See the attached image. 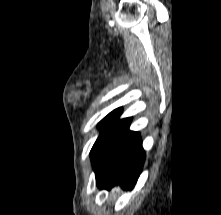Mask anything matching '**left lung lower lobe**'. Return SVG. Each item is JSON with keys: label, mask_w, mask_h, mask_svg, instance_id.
Returning a JSON list of instances; mask_svg holds the SVG:
<instances>
[{"label": "left lung lower lobe", "mask_w": 221, "mask_h": 215, "mask_svg": "<svg viewBox=\"0 0 221 215\" xmlns=\"http://www.w3.org/2000/svg\"><path fill=\"white\" fill-rule=\"evenodd\" d=\"M131 120L129 117L113 123L93 163L100 189H111L115 185L132 189L137 182L145 153L139 133L129 130Z\"/></svg>", "instance_id": "obj_1"}]
</instances>
